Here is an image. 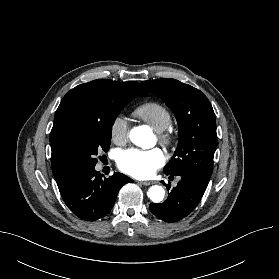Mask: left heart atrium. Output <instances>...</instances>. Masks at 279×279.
<instances>
[{
    "label": "left heart atrium",
    "mask_w": 279,
    "mask_h": 279,
    "mask_svg": "<svg viewBox=\"0 0 279 279\" xmlns=\"http://www.w3.org/2000/svg\"><path fill=\"white\" fill-rule=\"evenodd\" d=\"M165 163V155L159 148L142 150L130 148L119 152L117 165L120 170L136 178H147Z\"/></svg>",
    "instance_id": "1"
}]
</instances>
